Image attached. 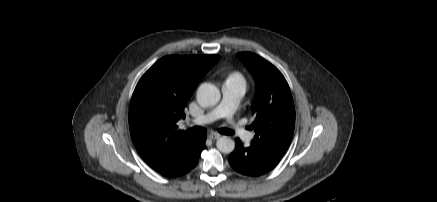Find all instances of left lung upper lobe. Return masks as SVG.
<instances>
[{"label": "left lung upper lobe", "mask_w": 437, "mask_h": 202, "mask_svg": "<svg viewBox=\"0 0 437 202\" xmlns=\"http://www.w3.org/2000/svg\"><path fill=\"white\" fill-rule=\"evenodd\" d=\"M237 56L256 82L252 108L255 121L250 126L256 134L250 147L277 165L294 132L295 108L290 88L281 72L262 57L250 52Z\"/></svg>", "instance_id": "1"}]
</instances>
